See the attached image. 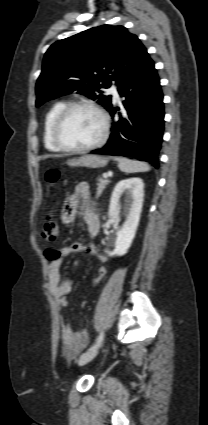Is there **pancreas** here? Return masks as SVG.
I'll return each instance as SVG.
<instances>
[{"mask_svg": "<svg viewBox=\"0 0 208 425\" xmlns=\"http://www.w3.org/2000/svg\"><path fill=\"white\" fill-rule=\"evenodd\" d=\"M110 183L109 180L98 178L97 180V194L96 197H99L106 186Z\"/></svg>", "mask_w": 208, "mask_h": 425, "instance_id": "cf45deb5", "label": "pancreas"}]
</instances>
